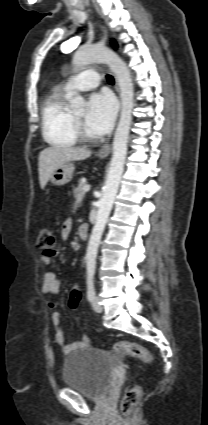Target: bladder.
Segmentation results:
<instances>
[{
  "mask_svg": "<svg viewBox=\"0 0 208 425\" xmlns=\"http://www.w3.org/2000/svg\"><path fill=\"white\" fill-rule=\"evenodd\" d=\"M115 364L116 359L111 352L84 347L67 357L62 379L68 388L86 398L99 400L112 386Z\"/></svg>",
  "mask_w": 208,
  "mask_h": 425,
  "instance_id": "1",
  "label": "bladder"
}]
</instances>
